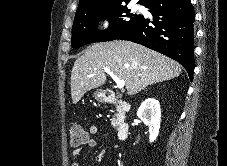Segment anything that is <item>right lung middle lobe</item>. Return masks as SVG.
Here are the masks:
<instances>
[{
	"instance_id": "right-lung-middle-lobe-1",
	"label": "right lung middle lobe",
	"mask_w": 227,
	"mask_h": 166,
	"mask_svg": "<svg viewBox=\"0 0 227 166\" xmlns=\"http://www.w3.org/2000/svg\"><path fill=\"white\" fill-rule=\"evenodd\" d=\"M141 17L142 15L130 14L126 5L78 12L72 26V47L115 40ZM102 18H107L110 26L106 31H97V21Z\"/></svg>"
}]
</instances>
